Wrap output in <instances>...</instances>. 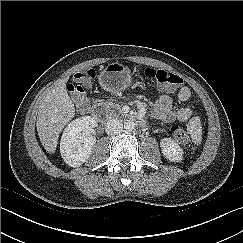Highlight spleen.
<instances>
[{"label":"spleen","instance_id":"3e777b00","mask_svg":"<svg viewBox=\"0 0 243 243\" xmlns=\"http://www.w3.org/2000/svg\"><path fill=\"white\" fill-rule=\"evenodd\" d=\"M189 129H190V133L192 135L193 140H195L196 142H199L201 140V134H202L201 122H200L199 117H193L190 120Z\"/></svg>","mask_w":243,"mask_h":243}]
</instances>
